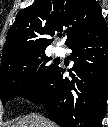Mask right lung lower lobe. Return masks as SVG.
<instances>
[{"label":"right lung lower lobe","instance_id":"98d812e1","mask_svg":"<svg viewBox=\"0 0 108 127\" xmlns=\"http://www.w3.org/2000/svg\"><path fill=\"white\" fill-rule=\"evenodd\" d=\"M74 65L71 80L57 67L47 83L26 97L45 104L60 127H99L108 98V28L102 17L67 45Z\"/></svg>","mask_w":108,"mask_h":127}]
</instances>
